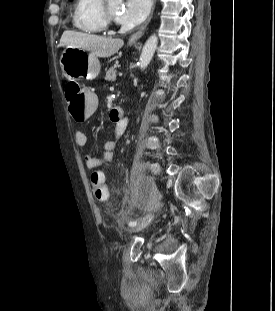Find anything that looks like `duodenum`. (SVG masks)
Instances as JSON below:
<instances>
[{
	"label": "duodenum",
	"instance_id": "410a0bca",
	"mask_svg": "<svg viewBox=\"0 0 275 311\" xmlns=\"http://www.w3.org/2000/svg\"><path fill=\"white\" fill-rule=\"evenodd\" d=\"M115 110H122V108H121V107H115V108L113 109V111L115 112Z\"/></svg>",
	"mask_w": 275,
	"mask_h": 311
}]
</instances>
